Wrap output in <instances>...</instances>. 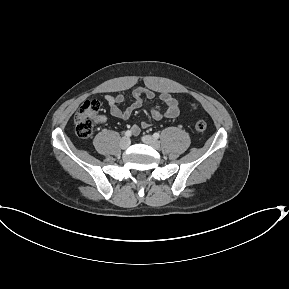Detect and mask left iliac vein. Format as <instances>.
Masks as SVG:
<instances>
[{
    "instance_id": "left-iliac-vein-1",
    "label": "left iliac vein",
    "mask_w": 289,
    "mask_h": 289,
    "mask_svg": "<svg viewBox=\"0 0 289 289\" xmlns=\"http://www.w3.org/2000/svg\"><path fill=\"white\" fill-rule=\"evenodd\" d=\"M142 141L145 144L150 145L151 147H153L156 150H158L160 148V142L156 138L152 137L151 135L143 136Z\"/></svg>"
}]
</instances>
